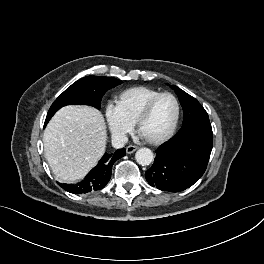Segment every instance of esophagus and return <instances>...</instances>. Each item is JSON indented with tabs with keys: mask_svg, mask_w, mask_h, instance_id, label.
Listing matches in <instances>:
<instances>
[{
	"mask_svg": "<svg viewBox=\"0 0 264 264\" xmlns=\"http://www.w3.org/2000/svg\"><path fill=\"white\" fill-rule=\"evenodd\" d=\"M137 149H138L137 146L129 145V146L126 148V152H127L128 154H131V153H134Z\"/></svg>",
	"mask_w": 264,
	"mask_h": 264,
	"instance_id": "esophagus-1",
	"label": "esophagus"
}]
</instances>
